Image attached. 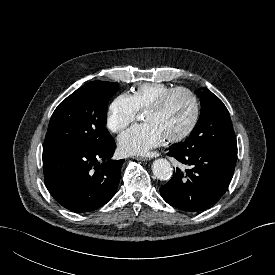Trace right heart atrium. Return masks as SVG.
<instances>
[{
    "label": "right heart atrium",
    "mask_w": 275,
    "mask_h": 275,
    "mask_svg": "<svg viewBox=\"0 0 275 275\" xmlns=\"http://www.w3.org/2000/svg\"><path fill=\"white\" fill-rule=\"evenodd\" d=\"M133 98L127 93L118 95L109 105L106 124L110 131L118 133L130 125L138 115Z\"/></svg>",
    "instance_id": "obj_1"
}]
</instances>
